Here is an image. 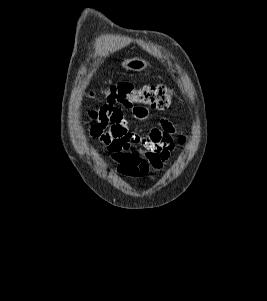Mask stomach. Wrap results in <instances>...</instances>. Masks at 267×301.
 Returning a JSON list of instances; mask_svg holds the SVG:
<instances>
[{"mask_svg":"<svg viewBox=\"0 0 267 301\" xmlns=\"http://www.w3.org/2000/svg\"><path fill=\"white\" fill-rule=\"evenodd\" d=\"M148 66V63L140 58H133L126 60L122 62V67L126 70H132V71H142L146 69Z\"/></svg>","mask_w":267,"mask_h":301,"instance_id":"1","label":"stomach"}]
</instances>
